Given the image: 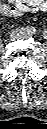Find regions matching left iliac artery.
<instances>
[{"label":"left iliac artery","instance_id":"obj_1","mask_svg":"<svg viewBox=\"0 0 47 129\" xmlns=\"http://www.w3.org/2000/svg\"><path fill=\"white\" fill-rule=\"evenodd\" d=\"M47 37V35L46 34H44V38H46Z\"/></svg>","mask_w":47,"mask_h":129}]
</instances>
